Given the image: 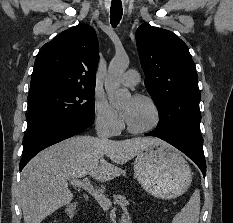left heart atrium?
I'll return each mask as SVG.
<instances>
[{
  "mask_svg": "<svg viewBox=\"0 0 233 223\" xmlns=\"http://www.w3.org/2000/svg\"><path fill=\"white\" fill-rule=\"evenodd\" d=\"M133 111H134L133 103H130L128 106H126L121 111L122 118L124 119L125 122L128 123L130 121V119L132 118V115H133Z\"/></svg>",
  "mask_w": 233,
  "mask_h": 223,
  "instance_id": "left-heart-atrium-1",
  "label": "left heart atrium"
}]
</instances>
